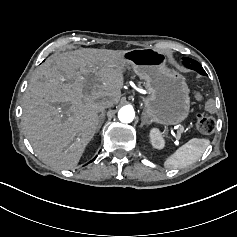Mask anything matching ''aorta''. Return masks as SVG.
<instances>
[{"instance_id": "aorta-1", "label": "aorta", "mask_w": 237, "mask_h": 237, "mask_svg": "<svg viewBox=\"0 0 237 237\" xmlns=\"http://www.w3.org/2000/svg\"><path fill=\"white\" fill-rule=\"evenodd\" d=\"M135 113L129 106L122 107L118 112V118L120 122L124 124L131 123L134 120Z\"/></svg>"}]
</instances>
